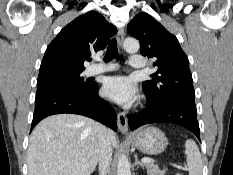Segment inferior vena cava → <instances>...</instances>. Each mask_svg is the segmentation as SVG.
<instances>
[{
	"instance_id": "602c4592",
	"label": "inferior vena cava",
	"mask_w": 233,
	"mask_h": 175,
	"mask_svg": "<svg viewBox=\"0 0 233 175\" xmlns=\"http://www.w3.org/2000/svg\"><path fill=\"white\" fill-rule=\"evenodd\" d=\"M112 158V147L108 130L99 124L98 162L100 175H106Z\"/></svg>"
}]
</instances>
